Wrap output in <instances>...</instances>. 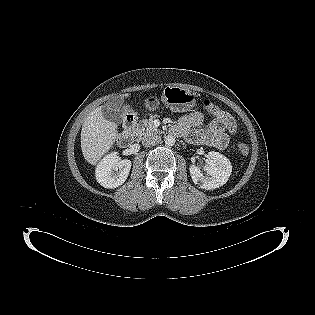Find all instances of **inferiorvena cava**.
Instances as JSON below:
<instances>
[{
  "label": "inferior vena cava",
  "mask_w": 315,
  "mask_h": 315,
  "mask_svg": "<svg viewBox=\"0 0 315 315\" xmlns=\"http://www.w3.org/2000/svg\"><path fill=\"white\" fill-rule=\"evenodd\" d=\"M161 141V137L156 134H150L143 138L142 144L145 147L153 146Z\"/></svg>",
  "instance_id": "602c4592"
}]
</instances>
